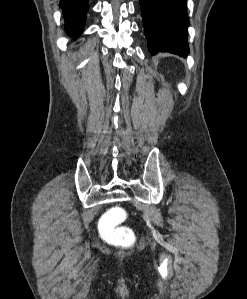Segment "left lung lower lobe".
Returning a JSON list of instances; mask_svg holds the SVG:
<instances>
[{
	"mask_svg": "<svg viewBox=\"0 0 247 299\" xmlns=\"http://www.w3.org/2000/svg\"><path fill=\"white\" fill-rule=\"evenodd\" d=\"M140 6L150 53L185 57L189 53L186 0H140Z\"/></svg>",
	"mask_w": 247,
	"mask_h": 299,
	"instance_id": "obj_1",
	"label": "left lung lower lobe"
}]
</instances>
